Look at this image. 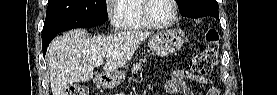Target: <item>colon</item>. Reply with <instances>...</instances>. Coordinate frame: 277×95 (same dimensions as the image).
Segmentation results:
<instances>
[{
	"label": "colon",
	"instance_id": "colon-1",
	"mask_svg": "<svg viewBox=\"0 0 277 95\" xmlns=\"http://www.w3.org/2000/svg\"><path fill=\"white\" fill-rule=\"evenodd\" d=\"M220 36L216 29H209L206 33L207 46L197 53L191 62L192 70L199 75H208L217 64ZM67 95H89L88 87L76 85L66 88Z\"/></svg>",
	"mask_w": 277,
	"mask_h": 95
}]
</instances>
